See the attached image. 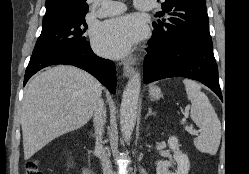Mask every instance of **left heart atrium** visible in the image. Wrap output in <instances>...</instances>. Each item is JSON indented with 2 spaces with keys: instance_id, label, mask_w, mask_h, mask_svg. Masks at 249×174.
<instances>
[{
  "instance_id": "1",
  "label": "left heart atrium",
  "mask_w": 249,
  "mask_h": 174,
  "mask_svg": "<svg viewBox=\"0 0 249 174\" xmlns=\"http://www.w3.org/2000/svg\"><path fill=\"white\" fill-rule=\"evenodd\" d=\"M145 26L133 15L113 18L102 23L93 37L94 48L110 58L126 56L132 46L140 41Z\"/></svg>"
}]
</instances>
